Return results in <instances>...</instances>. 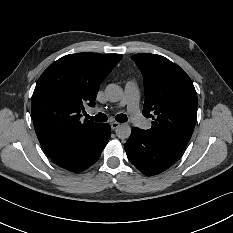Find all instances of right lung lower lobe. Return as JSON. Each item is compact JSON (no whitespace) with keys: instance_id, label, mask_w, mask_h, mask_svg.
Returning <instances> with one entry per match:
<instances>
[{"instance_id":"obj_1","label":"right lung lower lobe","mask_w":233,"mask_h":233,"mask_svg":"<svg viewBox=\"0 0 233 233\" xmlns=\"http://www.w3.org/2000/svg\"><path fill=\"white\" fill-rule=\"evenodd\" d=\"M110 135V126L106 123L102 124L94 134L80 139L64 151L49 157L61 168L72 172L84 171L99 159Z\"/></svg>"}]
</instances>
